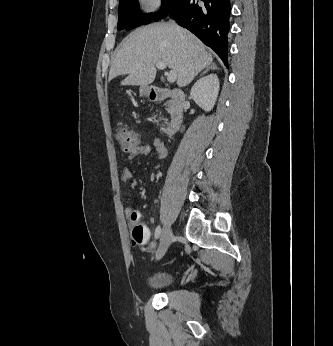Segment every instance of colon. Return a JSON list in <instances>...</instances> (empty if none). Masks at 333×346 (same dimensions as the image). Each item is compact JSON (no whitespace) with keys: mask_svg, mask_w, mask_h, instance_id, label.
Segmentation results:
<instances>
[{"mask_svg":"<svg viewBox=\"0 0 333 346\" xmlns=\"http://www.w3.org/2000/svg\"><path fill=\"white\" fill-rule=\"evenodd\" d=\"M117 142L119 143L121 149L125 152H131L139 146V136L136 131L128 127H121L116 133ZM132 221L131 229V242L132 236H137L139 243H145L148 239L147 245L154 244L155 236L151 235L152 226H144L138 223V212L132 211L130 215ZM152 242V243H150Z\"/></svg>","mask_w":333,"mask_h":346,"instance_id":"colon-1","label":"colon"}]
</instances>
